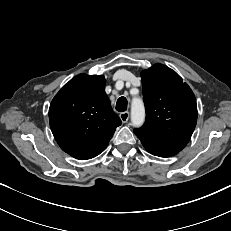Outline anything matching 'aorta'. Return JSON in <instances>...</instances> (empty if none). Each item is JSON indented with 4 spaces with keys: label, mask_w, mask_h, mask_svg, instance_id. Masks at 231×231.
Here are the masks:
<instances>
[{
    "label": "aorta",
    "mask_w": 231,
    "mask_h": 231,
    "mask_svg": "<svg viewBox=\"0 0 231 231\" xmlns=\"http://www.w3.org/2000/svg\"><path fill=\"white\" fill-rule=\"evenodd\" d=\"M145 120V108L140 98H134L131 105V122L135 127L143 125Z\"/></svg>",
    "instance_id": "aorta-1"
}]
</instances>
